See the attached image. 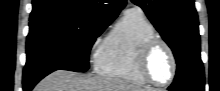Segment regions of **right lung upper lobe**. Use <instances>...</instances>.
Here are the masks:
<instances>
[{
	"label": "right lung upper lobe",
	"mask_w": 220,
	"mask_h": 91,
	"mask_svg": "<svg viewBox=\"0 0 220 91\" xmlns=\"http://www.w3.org/2000/svg\"><path fill=\"white\" fill-rule=\"evenodd\" d=\"M125 5L126 0H33L29 24L62 19L110 25Z\"/></svg>",
	"instance_id": "obj_1"
}]
</instances>
